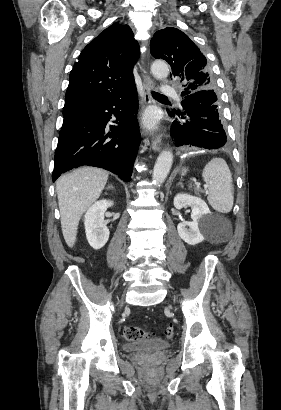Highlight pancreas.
Listing matches in <instances>:
<instances>
[{
    "mask_svg": "<svg viewBox=\"0 0 281 410\" xmlns=\"http://www.w3.org/2000/svg\"><path fill=\"white\" fill-rule=\"evenodd\" d=\"M194 192L195 194L199 195L200 193L203 192V190H201L200 188H194Z\"/></svg>",
    "mask_w": 281,
    "mask_h": 410,
    "instance_id": "obj_1",
    "label": "pancreas"
}]
</instances>
